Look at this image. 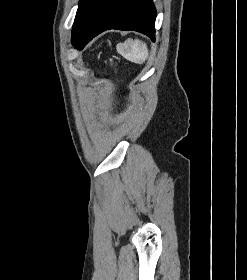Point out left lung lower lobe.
Wrapping results in <instances>:
<instances>
[{
	"label": "left lung lower lobe",
	"instance_id": "left-lung-lower-lobe-1",
	"mask_svg": "<svg viewBox=\"0 0 247 280\" xmlns=\"http://www.w3.org/2000/svg\"><path fill=\"white\" fill-rule=\"evenodd\" d=\"M156 9L152 0H101L89 13L72 44L82 49L108 29L135 30L155 40Z\"/></svg>",
	"mask_w": 247,
	"mask_h": 280
}]
</instances>
